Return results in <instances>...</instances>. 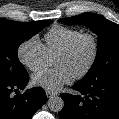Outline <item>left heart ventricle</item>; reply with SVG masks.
<instances>
[{
    "instance_id": "left-heart-ventricle-1",
    "label": "left heart ventricle",
    "mask_w": 119,
    "mask_h": 119,
    "mask_svg": "<svg viewBox=\"0 0 119 119\" xmlns=\"http://www.w3.org/2000/svg\"><path fill=\"white\" fill-rule=\"evenodd\" d=\"M91 51L90 42L86 39L81 40L70 55H57L55 66L65 67L75 75L86 66L90 59Z\"/></svg>"
}]
</instances>
